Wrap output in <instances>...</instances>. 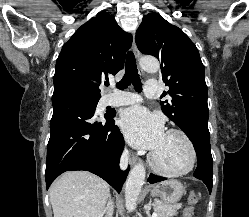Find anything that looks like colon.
Instances as JSON below:
<instances>
[{
	"instance_id": "1",
	"label": "colon",
	"mask_w": 249,
	"mask_h": 217,
	"mask_svg": "<svg viewBox=\"0 0 249 217\" xmlns=\"http://www.w3.org/2000/svg\"><path fill=\"white\" fill-rule=\"evenodd\" d=\"M198 202V196L196 193H191L188 197V205L183 211V217H193L195 204Z\"/></svg>"
}]
</instances>
